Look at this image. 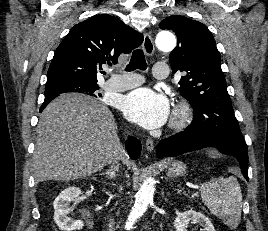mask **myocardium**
<instances>
[{
	"label": "myocardium",
	"instance_id": "1",
	"mask_svg": "<svg viewBox=\"0 0 268 231\" xmlns=\"http://www.w3.org/2000/svg\"><path fill=\"white\" fill-rule=\"evenodd\" d=\"M192 117V111L190 106L182 101L175 105L169 126L171 129L174 130H181L187 126V124L190 122Z\"/></svg>",
	"mask_w": 268,
	"mask_h": 231
}]
</instances>
